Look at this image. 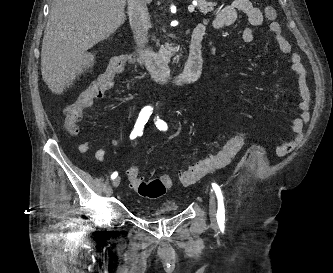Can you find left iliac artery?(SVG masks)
Instances as JSON below:
<instances>
[{
	"mask_svg": "<svg viewBox=\"0 0 333 273\" xmlns=\"http://www.w3.org/2000/svg\"><path fill=\"white\" fill-rule=\"evenodd\" d=\"M155 125L159 130L163 131H166L168 128L166 122L159 119L158 117L155 120ZM212 188L215 191L218 200L217 222L219 225H223L225 223L224 197L220 187L216 183H212Z\"/></svg>",
	"mask_w": 333,
	"mask_h": 273,
	"instance_id": "obj_1",
	"label": "left iliac artery"
}]
</instances>
